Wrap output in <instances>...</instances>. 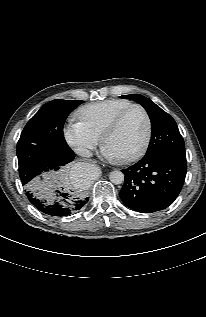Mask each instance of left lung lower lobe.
<instances>
[{
    "mask_svg": "<svg viewBox=\"0 0 206 317\" xmlns=\"http://www.w3.org/2000/svg\"><path fill=\"white\" fill-rule=\"evenodd\" d=\"M122 172L125 175L120 191L122 202L135 211L152 213L167 208L179 195L187 172L186 156L176 153L144 156Z\"/></svg>",
    "mask_w": 206,
    "mask_h": 317,
    "instance_id": "1",
    "label": "left lung lower lobe"
}]
</instances>
